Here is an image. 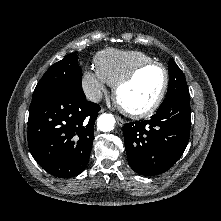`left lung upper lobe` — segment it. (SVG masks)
Listing matches in <instances>:
<instances>
[{"mask_svg": "<svg viewBox=\"0 0 221 221\" xmlns=\"http://www.w3.org/2000/svg\"><path fill=\"white\" fill-rule=\"evenodd\" d=\"M168 70L169 87L163 103L169 101L176 95L189 92L185 76L173 60H170Z\"/></svg>", "mask_w": 221, "mask_h": 221, "instance_id": "5c2ea615", "label": "left lung upper lobe"}]
</instances>
